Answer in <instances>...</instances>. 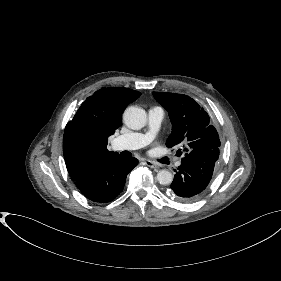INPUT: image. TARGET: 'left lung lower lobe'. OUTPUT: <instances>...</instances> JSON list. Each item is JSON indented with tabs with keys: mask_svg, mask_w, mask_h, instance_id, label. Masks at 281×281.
I'll return each instance as SVG.
<instances>
[{
	"mask_svg": "<svg viewBox=\"0 0 281 281\" xmlns=\"http://www.w3.org/2000/svg\"><path fill=\"white\" fill-rule=\"evenodd\" d=\"M219 155V148H197L182 158L171 183L173 195L185 202L200 197L213 177Z\"/></svg>",
	"mask_w": 281,
	"mask_h": 281,
	"instance_id": "0a47b994",
	"label": "left lung lower lobe"
}]
</instances>
